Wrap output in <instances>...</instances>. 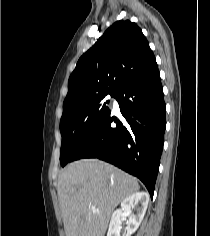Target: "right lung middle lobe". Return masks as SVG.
<instances>
[{
	"mask_svg": "<svg viewBox=\"0 0 210 236\" xmlns=\"http://www.w3.org/2000/svg\"><path fill=\"white\" fill-rule=\"evenodd\" d=\"M108 94L115 97V93L98 95L63 113L60 121L62 135L60 163L62 166L72 160L87 137L110 112L106 106L109 100L105 99Z\"/></svg>",
	"mask_w": 210,
	"mask_h": 236,
	"instance_id": "obj_1",
	"label": "right lung middle lobe"
}]
</instances>
